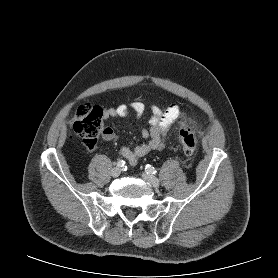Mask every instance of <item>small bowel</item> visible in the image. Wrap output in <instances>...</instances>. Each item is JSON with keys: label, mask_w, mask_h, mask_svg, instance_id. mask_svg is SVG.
<instances>
[{"label": "small bowel", "mask_w": 278, "mask_h": 278, "mask_svg": "<svg viewBox=\"0 0 278 278\" xmlns=\"http://www.w3.org/2000/svg\"><path fill=\"white\" fill-rule=\"evenodd\" d=\"M146 111L144 103L140 101L133 102L130 106L120 104L109 108L105 112L107 118L124 119L132 114L140 118ZM151 116L149 118L148 128H141V135L145 140L134 149L123 146L120 150L121 155L128 160L131 165H136L138 160L154 150H162L165 147V140L171 125L180 117V108L177 104H171L165 110L157 106L150 108ZM103 138L111 141L115 138L114 131L107 127L104 130Z\"/></svg>", "instance_id": "c3829d8e"}]
</instances>
